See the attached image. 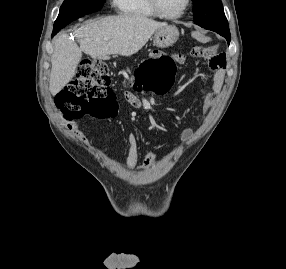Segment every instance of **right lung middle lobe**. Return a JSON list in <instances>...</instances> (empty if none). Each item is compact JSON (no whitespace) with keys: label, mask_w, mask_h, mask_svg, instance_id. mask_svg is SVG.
<instances>
[{"label":"right lung middle lobe","mask_w":286,"mask_h":269,"mask_svg":"<svg viewBox=\"0 0 286 269\" xmlns=\"http://www.w3.org/2000/svg\"><path fill=\"white\" fill-rule=\"evenodd\" d=\"M106 0H64L53 27L60 30L70 22L101 9Z\"/></svg>","instance_id":"1"}]
</instances>
